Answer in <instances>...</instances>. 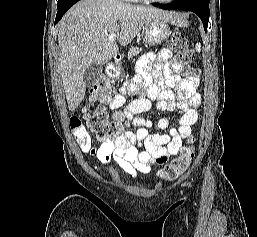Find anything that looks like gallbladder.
<instances>
[{"mask_svg": "<svg viewBox=\"0 0 257 237\" xmlns=\"http://www.w3.org/2000/svg\"><path fill=\"white\" fill-rule=\"evenodd\" d=\"M102 72L101 65L97 63L91 64L84 72L83 82L86 87L93 85L99 78V75Z\"/></svg>", "mask_w": 257, "mask_h": 237, "instance_id": "obj_1", "label": "gallbladder"}]
</instances>
